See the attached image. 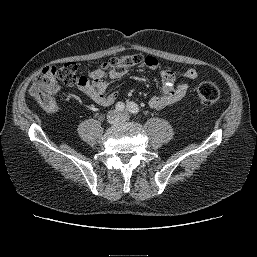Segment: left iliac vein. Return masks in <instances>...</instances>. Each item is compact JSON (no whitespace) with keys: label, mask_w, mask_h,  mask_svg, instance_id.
<instances>
[{"label":"left iliac vein","mask_w":257,"mask_h":257,"mask_svg":"<svg viewBox=\"0 0 257 257\" xmlns=\"http://www.w3.org/2000/svg\"><path fill=\"white\" fill-rule=\"evenodd\" d=\"M122 118H123V120H128V119H129L128 113L123 112V113H122Z\"/></svg>","instance_id":"4c4485c4"}]
</instances>
